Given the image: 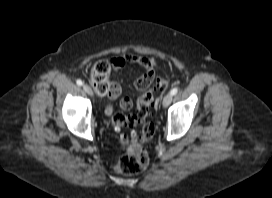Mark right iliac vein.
<instances>
[{"mask_svg": "<svg viewBox=\"0 0 272 198\" xmlns=\"http://www.w3.org/2000/svg\"><path fill=\"white\" fill-rule=\"evenodd\" d=\"M83 90H84L88 95L93 96V91H92V89L90 88L89 85L84 84V85H83Z\"/></svg>", "mask_w": 272, "mask_h": 198, "instance_id": "right-iliac-vein-1", "label": "right iliac vein"}]
</instances>
